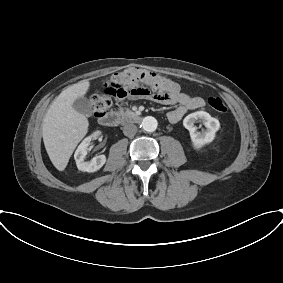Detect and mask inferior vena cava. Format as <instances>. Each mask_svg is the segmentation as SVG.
I'll list each match as a JSON object with an SVG mask.
<instances>
[{
    "instance_id": "1",
    "label": "inferior vena cava",
    "mask_w": 283,
    "mask_h": 283,
    "mask_svg": "<svg viewBox=\"0 0 283 283\" xmlns=\"http://www.w3.org/2000/svg\"><path fill=\"white\" fill-rule=\"evenodd\" d=\"M137 132V127L134 124H127L123 127V133L125 136H134Z\"/></svg>"
}]
</instances>
